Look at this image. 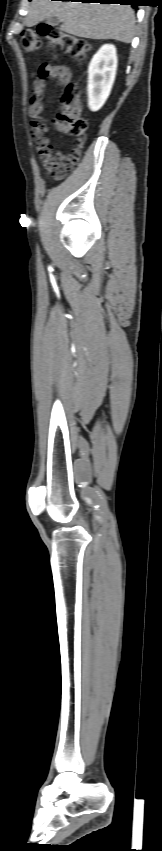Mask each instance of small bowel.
I'll return each instance as SVG.
<instances>
[{
	"instance_id": "1",
	"label": "small bowel",
	"mask_w": 162,
	"mask_h": 851,
	"mask_svg": "<svg viewBox=\"0 0 162 851\" xmlns=\"http://www.w3.org/2000/svg\"><path fill=\"white\" fill-rule=\"evenodd\" d=\"M70 77L71 72L68 67L44 63L39 67L38 77L33 83V92L29 107V114L32 119L31 135L35 140L38 158L42 166L52 173L68 159L69 155H65L62 151L55 149L50 139L45 137L48 128L45 119L41 116L43 112L42 97L47 86V78H54L59 85H65L69 82ZM55 127L59 131H63L58 121L55 122Z\"/></svg>"
}]
</instances>
